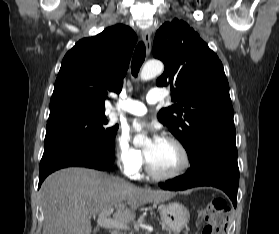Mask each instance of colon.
<instances>
[{
	"mask_svg": "<svg viewBox=\"0 0 279 234\" xmlns=\"http://www.w3.org/2000/svg\"><path fill=\"white\" fill-rule=\"evenodd\" d=\"M229 211L223 198H213L200 211V217L205 222L202 234H225Z\"/></svg>",
	"mask_w": 279,
	"mask_h": 234,
	"instance_id": "5ec220e1",
	"label": "colon"
}]
</instances>
